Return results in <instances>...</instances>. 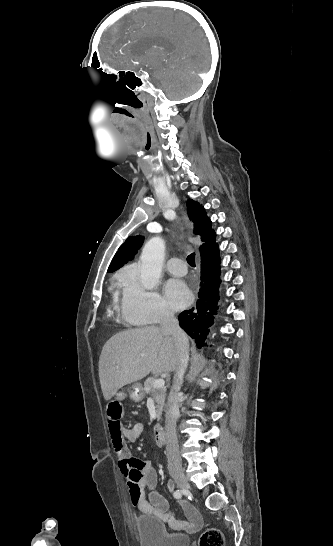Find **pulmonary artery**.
Returning <instances> with one entry per match:
<instances>
[{"mask_svg":"<svg viewBox=\"0 0 333 546\" xmlns=\"http://www.w3.org/2000/svg\"><path fill=\"white\" fill-rule=\"evenodd\" d=\"M166 270L176 276H183L187 273V267L182 259L170 258L165 265Z\"/></svg>","mask_w":333,"mask_h":546,"instance_id":"obj_1","label":"pulmonary artery"}]
</instances>
